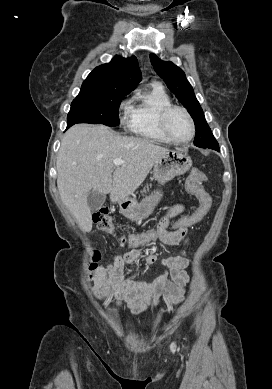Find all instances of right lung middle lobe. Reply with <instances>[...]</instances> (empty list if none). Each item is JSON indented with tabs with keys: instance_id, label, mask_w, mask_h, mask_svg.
Listing matches in <instances>:
<instances>
[{
	"instance_id": "obj_1",
	"label": "right lung middle lobe",
	"mask_w": 272,
	"mask_h": 389,
	"mask_svg": "<svg viewBox=\"0 0 272 389\" xmlns=\"http://www.w3.org/2000/svg\"><path fill=\"white\" fill-rule=\"evenodd\" d=\"M129 92L82 86L78 96L73 100L67 116V124L75 123L119 125V106L122 98Z\"/></svg>"
}]
</instances>
